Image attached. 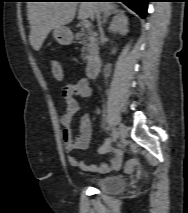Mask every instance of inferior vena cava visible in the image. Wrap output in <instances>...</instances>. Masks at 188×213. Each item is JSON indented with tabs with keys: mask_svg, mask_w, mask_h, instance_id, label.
Returning a JSON list of instances; mask_svg holds the SVG:
<instances>
[{
	"mask_svg": "<svg viewBox=\"0 0 188 213\" xmlns=\"http://www.w3.org/2000/svg\"><path fill=\"white\" fill-rule=\"evenodd\" d=\"M96 18H97V21H98V26H99V29L100 31L102 32V28H101V12L100 11H97L96 12ZM104 40V38H102V41Z\"/></svg>",
	"mask_w": 188,
	"mask_h": 213,
	"instance_id": "inferior-vena-cava-1",
	"label": "inferior vena cava"
}]
</instances>
